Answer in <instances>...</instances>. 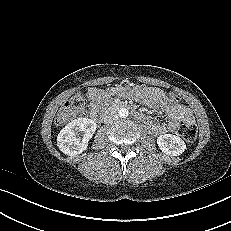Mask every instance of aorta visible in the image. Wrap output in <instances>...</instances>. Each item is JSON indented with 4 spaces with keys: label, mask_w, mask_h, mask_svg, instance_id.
<instances>
[{
    "label": "aorta",
    "mask_w": 231,
    "mask_h": 231,
    "mask_svg": "<svg viewBox=\"0 0 231 231\" xmlns=\"http://www.w3.org/2000/svg\"><path fill=\"white\" fill-rule=\"evenodd\" d=\"M128 114H129V111L126 108H120L118 110V115L120 118H126L128 116Z\"/></svg>",
    "instance_id": "762f6f07"
}]
</instances>
